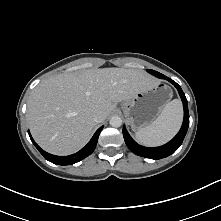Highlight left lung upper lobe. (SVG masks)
<instances>
[{
    "instance_id": "left-lung-upper-lobe-1",
    "label": "left lung upper lobe",
    "mask_w": 221,
    "mask_h": 221,
    "mask_svg": "<svg viewBox=\"0 0 221 221\" xmlns=\"http://www.w3.org/2000/svg\"><path fill=\"white\" fill-rule=\"evenodd\" d=\"M147 71H148L149 73H151V74H153V75H155V76L159 77V78H160V76L162 75L161 73L156 72V71L151 70V69H148Z\"/></svg>"
}]
</instances>
